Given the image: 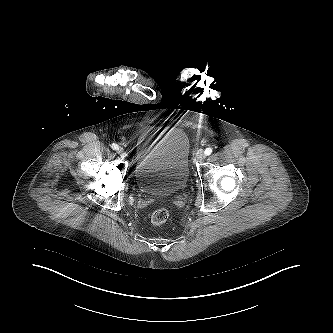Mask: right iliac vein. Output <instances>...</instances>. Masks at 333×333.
<instances>
[{
  "label": "right iliac vein",
  "mask_w": 333,
  "mask_h": 333,
  "mask_svg": "<svg viewBox=\"0 0 333 333\" xmlns=\"http://www.w3.org/2000/svg\"><path fill=\"white\" fill-rule=\"evenodd\" d=\"M123 153H124V150H123V148H119L118 149V154H120L121 156L123 155Z\"/></svg>",
  "instance_id": "right-iliac-vein-1"
}]
</instances>
